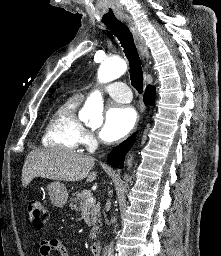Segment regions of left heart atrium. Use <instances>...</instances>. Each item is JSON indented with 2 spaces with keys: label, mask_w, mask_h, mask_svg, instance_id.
Segmentation results:
<instances>
[{
  "label": "left heart atrium",
  "mask_w": 221,
  "mask_h": 256,
  "mask_svg": "<svg viewBox=\"0 0 221 256\" xmlns=\"http://www.w3.org/2000/svg\"><path fill=\"white\" fill-rule=\"evenodd\" d=\"M136 115L132 108L113 104L104 116V123L99 131V137L105 142H114L127 135L133 128Z\"/></svg>",
  "instance_id": "1"
}]
</instances>
